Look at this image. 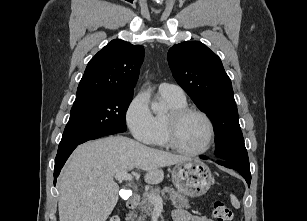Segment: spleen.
<instances>
[{
  "label": "spleen",
  "mask_w": 307,
  "mask_h": 221,
  "mask_svg": "<svg viewBox=\"0 0 307 221\" xmlns=\"http://www.w3.org/2000/svg\"><path fill=\"white\" fill-rule=\"evenodd\" d=\"M230 199H231V204L234 208L238 209L240 208V202L239 200L236 198L235 195L231 194L230 195Z\"/></svg>",
  "instance_id": "3e777b00"
}]
</instances>
